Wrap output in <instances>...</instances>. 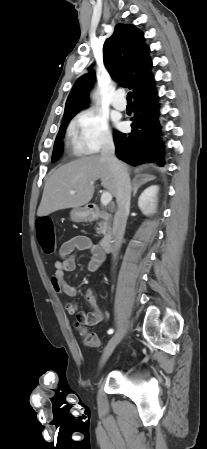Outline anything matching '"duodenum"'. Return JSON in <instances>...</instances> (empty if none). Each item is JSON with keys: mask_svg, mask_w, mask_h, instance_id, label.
Returning <instances> with one entry per match:
<instances>
[{"mask_svg": "<svg viewBox=\"0 0 207 449\" xmlns=\"http://www.w3.org/2000/svg\"><path fill=\"white\" fill-rule=\"evenodd\" d=\"M99 214V210L96 207H91L88 209V215L90 217L96 216ZM100 247L104 252H110L113 248V235L108 232L104 238L100 241Z\"/></svg>", "mask_w": 207, "mask_h": 449, "instance_id": "obj_1", "label": "duodenum"}]
</instances>
